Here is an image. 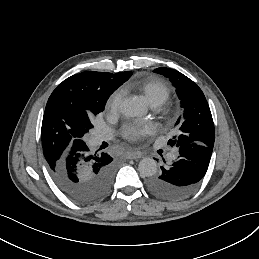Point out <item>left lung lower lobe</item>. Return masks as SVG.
Returning <instances> with one entry per match:
<instances>
[{"instance_id": "1", "label": "left lung lower lobe", "mask_w": 259, "mask_h": 259, "mask_svg": "<svg viewBox=\"0 0 259 259\" xmlns=\"http://www.w3.org/2000/svg\"><path fill=\"white\" fill-rule=\"evenodd\" d=\"M178 150V159L161 167L162 173L147 182L148 189L165 200H181L196 190L207 172L213 147L192 143Z\"/></svg>"}]
</instances>
